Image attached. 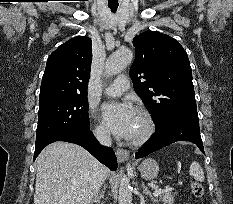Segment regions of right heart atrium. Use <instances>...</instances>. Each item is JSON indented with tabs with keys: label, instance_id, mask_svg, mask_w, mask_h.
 Masks as SVG:
<instances>
[{
	"label": "right heart atrium",
	"instance_id": "obj_1",
	"mask_svg": "<svg viewBox=\"0 0 233 204\" xmlns=\"http://www.w3.org/2000/svg\"><path fill=\"white\" fill-rule=\"evenodd\" d=\"M93 134L99 142L105 143L109 140V134L101 124H96L94 126Z\"/></svg>",
	"mask_w": 233,
	"mask_h": 204
}]
</instances>
